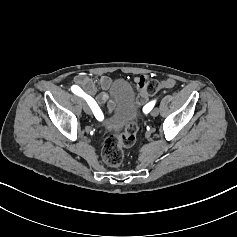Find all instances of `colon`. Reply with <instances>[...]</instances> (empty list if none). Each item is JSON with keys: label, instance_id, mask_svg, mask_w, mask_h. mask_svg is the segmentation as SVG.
Here are the masks:
<instances>
[{"label": "colon", "instance_id": "obj_1", "mask_svg": "<svg viewBox=\"0 0 237 237\" xmlns=\"http://www.w3.org/2000/svg\"><path fill=\"white\" fill-rule=\"evenodd\" d=\"M160 87V82L150 80L144 86V94L147 97L153 95ZM137 132L138 125L135 122H130L125 126V129L121 134L108 135L103 142L101 151V157L104 163L110 167L120 166L124 158L123 149L134 145Z\"/></svg>", "mask_w": 237, "mask_h": 237}]
</instances>
